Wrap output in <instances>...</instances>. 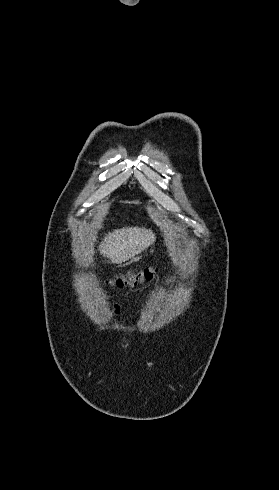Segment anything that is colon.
<instances>
[{
  "instance_id": "1",
  "label": "colon",
  "mask_w": 279,
  "mask_h": 490,
  "mask_svg": "<svg viewBox=\"0 0 279 490\" xmlns=\"http://www.w3.org/2000/svg\"><path fill=\"white\" fill-rule=\"evenodd\" d=\"M155 269L152 267H146L142 271L136 273H127L118 275L114 278L109 279V285L111 286H133L142 283L153 276Z\"/></svg>"
}]
</instances>
